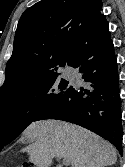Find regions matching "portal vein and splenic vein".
<instances>
[{"mask_svg": "<svg viewBox=\"0 0 125 167\" xmlns=\"http://www.w3.org/2000/svg\"><path fill=\"white\" fill-rule=\"evenodd\" d=\"M62 163L68 166L70 164V160L68 158H63Z\"/></svg>", "mask_w": 125, "mask_h": 167, "instance_id": "18ae733b", "label": "portal vein and splenic vein"}]
</instances>
